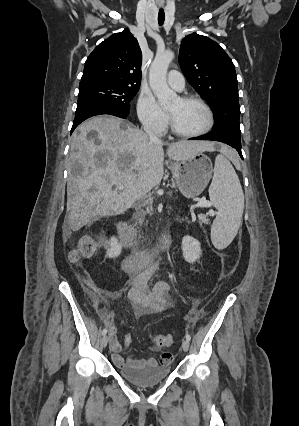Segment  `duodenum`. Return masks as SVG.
Here are the masks:
<instances>
[{
	"label": "duodenum",
	"instance_id": "duodenum-1",
	"mask_svg": "<svg viewBox=\"0 0 299 426\" xmlns=\"http://www.w3.org/2000/svg\"><path fill=\"white\" fill-rule=\"evenodd\" d=\"M116 228L124 247L133 249L134 240L127 223L124 220H120L117 222ZM169 247L170 238L169 236H165L160 247L154 251L132 250L123 260L124 269L129 273L136 272L140 267L158 258L160 254L165 252Z\"/></svg>",
	"mask_w": 299,
	"mask_h": 426
}]
</instances>
